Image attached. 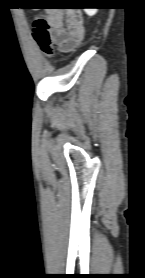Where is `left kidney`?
<instances>
[{
  "mask_svg": "<svg viewBox=\"0 0 145 278\" xmlns=\"http://www.w3.org/2000/svg\"><path fill=\"white\" fill-rule=\"evenodd\" d=\"M97 8H84V11L87 15L93 16L97 13Z\"/></svg>",
  "mask_w": 145,
  "mask_h": 278,
  "instance_id": "left-kidney-1",
  "label": "left kidney"
}]
</instances>
